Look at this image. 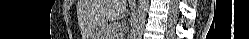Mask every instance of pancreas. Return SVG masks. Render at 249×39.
Segmentation results:
<instances>
[{
  "label": "pancreas",
  "mask_w": 249,
  "mask_h": 39,
  "mask_svg": "<svg viewBox=\"0 0 249 39\" xmlns=\"http://www.w3.org/2000/svg\"><path fill=\"white\" fill-rule=\"evenodd\" d=\"M118 23H111L106 29H105V36L107 39H115L118 35Z\"/></svg>",
  "instance_id": "cf45deb5"
}]
</instances>
